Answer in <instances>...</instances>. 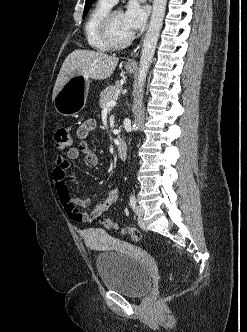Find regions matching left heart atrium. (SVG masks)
I'll return each mask as SVG.
<instances>
[{"instance_id":"39dd6f15","label":"left heart atrium","mask_w":247,"mask_h":332,"mask_svg":"<svg viewBox=\"0 0 247 332\" xmlns=\"http://www.w3.org/2000/svg\"><path fill=\"white\" fill-rule=\"evenodd\" d=\"M146 16L145 9L138 3L133 2L128 5L126 11L123 13V21L132 33L144 26Z\"/></svg>"}]
</instances>
